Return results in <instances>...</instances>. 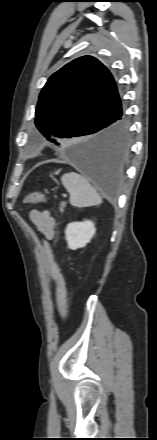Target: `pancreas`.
Returning a JSON list of instances; mask_svg holds the SVG:
<instances>
[{
    "label": "pancreas",
    "mask_w": 157,
    "mask_h": 440,
    "mask_svg": "<svg viewBox=\"0 0 157 440\" xmlns=\"http://www.w3.org/2000/svg\"><path fill=\"white\" fill-rule=\"evenodd\" d=\"M66 207V203L65 202H61L60 203V212L63 213L64 212V208Z\"/></svg>",
    "instance_id": "cf45deb5"
}]
</instances>
